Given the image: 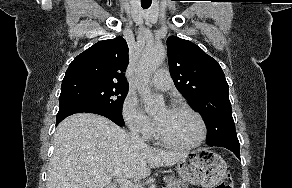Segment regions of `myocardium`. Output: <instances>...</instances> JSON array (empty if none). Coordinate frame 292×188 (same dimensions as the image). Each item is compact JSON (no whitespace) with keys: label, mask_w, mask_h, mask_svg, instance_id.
Instances as JSON below:
<instances>
[{"label":"myocardium","mask_w":292,"mask_h":188,"mask_svg":"<svg viewBox=\"0 0 292 188\" xmlns=\"http://www.w3.org/2000/svg\"><path fill=\"white\" fill-rule=\"evenodd\" d=\"M169 110H174V111H185L188 112L190 114H192L193 116H195L200 124V135L199 137L192 143L189 144H178V143H174L170 140H168L160 131L157 122L155 123V135L157 140L165 147L171 148V149H177V150H189V149H194L198 146H200L207 138V134H208V127H207V123L204 119V117L202 116V114L200 112H198L197 110L193 109L192 107H190L187 104H183V103H175L172 104L169 107Z\"/></svg>","instance_id":"f54148a6"}]
</instances>
